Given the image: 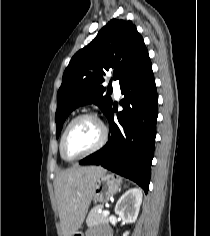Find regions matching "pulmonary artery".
Wrapping results in <instances>:
<instances>
[{"mask_svg": "<svg viewBox=\"0 0 210 236\" xmlns=\"http://www.w3.org/2000/svg\"><path fill=\"white\" fill-rule=\"evenodd\" d=\"M112 87L114 90L115 95L118 97L120 95V86L119 83L117 81H113L112 83Z\"/></svg>", "mask_w": 210, "mask_h": 236, "instance_id": "pulmonary-artery-1", "label": "pulmonary artery"}]
</instances>
